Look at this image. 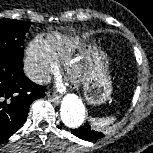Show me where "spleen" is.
Masks as SVG:
<instances>
[{"label": "spleen", "mask_w": 153, "mask_h": 153, "mask_svg": "<svg viewBox=\"0 0 153 153\" xmlns=\"http://www.w3.org/2000/svg\"><path fill=\"white\" fill-rule=\"evenodd\" d=\"M115 118L114 117H102V118H92L91 119V125L95 129H100L105 126H108L112 122H114Z\"/></svg>", "instance_id": "1"}]
</instances>
